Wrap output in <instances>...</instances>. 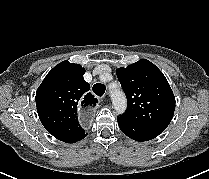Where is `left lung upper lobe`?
<instances>
[{"label": "left lung upper lobe", "mask_w": 209, "mask_h": 179, "mask_svg": "<svg viewBox=\"0 0 209 179\" xmlns=\"http://www.w3.org/2000/svg\"><path fill=\"white\" fill-rule=\"evenodd\" d=\"M116 74L128 103L121 116L162 133L175 110V97L163 73L150 61L141 59L117 69Z\"/></svg>", "instance_id": "obj_1"}]
</instances>
